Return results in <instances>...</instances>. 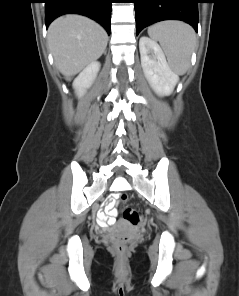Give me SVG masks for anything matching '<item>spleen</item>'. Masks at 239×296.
<instances>
[{"label": "spleen", "instance_id": "obj_1", "mask_svg": "<svg viewBox=\"0 0 239 296\" xmlns=\"http://www.w3.org/2000/svg\"><path fill=\"white\" fill-rule=\"evenodd\" d=\"M148 35L159 41L172 71L178 75L185 74L196 46L193 28L180 21H163L150 26Z\"/></svg>", "mask_w": 239, "mask_h": 296}]
</instances>
